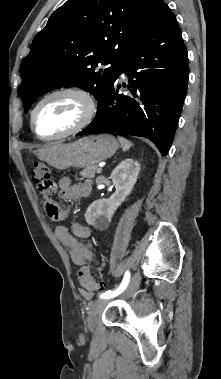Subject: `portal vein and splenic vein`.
Returning <instances> with one entry per match:
<instances>
[{
	"label": "portal vein and splenic vein",
	"instance_id": "18ae733b",
	"mask_svg": "<svg viewBox=\"0 0 221 379\" xmlns=\"http://www.w3.org/2000/svg\"><path fill=\"white\" fill-rule=\"evenodd\" d=\"M101 172H102V169H101V168H98V169H97V173L100 174Z\"/></svg>",
	"mask_w": 221,
	"mask_h": 379
}]
</instances>
